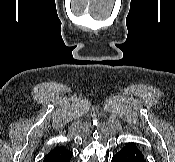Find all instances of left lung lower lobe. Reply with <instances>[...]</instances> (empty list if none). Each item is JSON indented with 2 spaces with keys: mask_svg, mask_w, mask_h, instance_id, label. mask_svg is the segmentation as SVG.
I'll return each instance as SVG.
<instances>
[{
  "mask_svg": "<svg viewBox=\"0 0 175 162\" xmlns=\"http://www.w3.org/2000/svg\"><path fill=\"white\" fill-rule=\"evenodd\" d=\"M112 162H144V156L134 143H128L113 156Z\"/></svg>",
  "mask_w": 175,
  "mask_h": 162,
  "instance_id": "left-lung-lower-lobe-1",
  "label": "left lung lower lobe"
}]
</instances>
